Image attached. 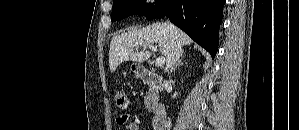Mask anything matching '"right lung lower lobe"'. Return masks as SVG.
Wrapping results in <instances>:
<instances>
[{
	"mask_svg": "<svg viewBox=\"0 0 299 130\" xmlns=\"http://www.w3.org/2000/svg\"><path fill=\"white\" fill-rule=\"evenodd\" d=\"M226 0H158L147 19L168 16L214 58L218 50V28Z\"/></svg>",
	"mask_w": 299,
	"mask_h": 130,
	"instance_id": "98d812e1",
	"label": "right lung lower lobe"
}]
</instances>
